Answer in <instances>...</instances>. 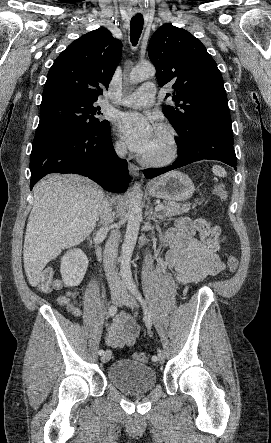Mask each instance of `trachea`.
I'll return each mask as SVG.
<instances>
[{
    "instance_id": "1",
    "label": "trachea",
    "mask_w": 271,
    "mask_h": 443,
    "mask_svg": "<svg viewBox=\"0 0 271 443\" xmlns=\"http://www.w3.org/2000/svg\"><path fill=\"white\" fill-rule=\"evenodd\" d=\"M143 15H135L130 22V40L136 45L143 30Z\"/></svg>"
}]
</instances>
